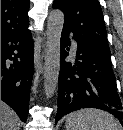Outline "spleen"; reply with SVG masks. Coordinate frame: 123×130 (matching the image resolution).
I'll return each mask as SVG.
<instances>
[{
    "label": "spleen",
    "mask_w": 123,
    "mask_h": 130,
    "mask_svg": "<svg viewBox=\"0 0 123 130\" xmlns=\"http://www.w3.org/2000/svg\"><path fill=\"white\" fill-rule=\"evenodd\" d=\"M66 130H118L114 117L103 110L87 108L66 116Z\"/></svg>",
    "instance_id": "3e777b00"
}]
</instances>
